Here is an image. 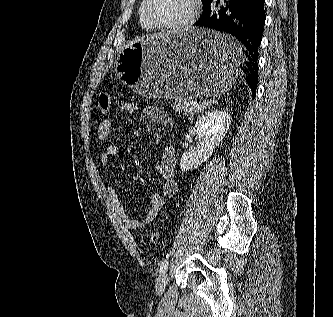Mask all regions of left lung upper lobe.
<instances>
[{"label":"left lung upper lobe","mask_w":333,"mask_h":317,"mask_svg":"<svg viewBox=\"0 0 333 317\" xmlns=\"http://www.w3.org/2000/svg\"><path fill=\"white\" fill-rule=\"evenodd\" d=\"M211 0H202V4H203V10L207 7V5L209 4Z\"/></svg>","instance_id":"obj_1"}]
</instances>
